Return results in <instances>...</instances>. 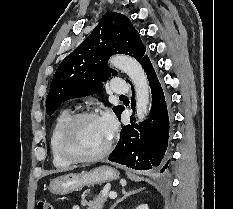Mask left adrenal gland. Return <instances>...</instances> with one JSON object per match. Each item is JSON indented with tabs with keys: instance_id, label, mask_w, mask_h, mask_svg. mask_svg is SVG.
<instances>
[{
	"instance_id": "1",
	"label": "left adrenal gland",
	"mask_w": 233,
	"mask_h": 209,
	"mask_svg": "<svg viewBox=\"0 0 233 209\" xmlns=\"http://www.w3.org/2000/svg\"><path fill=\"white\" fill-rule=\"evenodd\" d=\"M140 190H134V191H130V192H127L125 189L122 190V194H123V197L118 199L112 206L110 209H114L118 203H120L121 201L125 200L128 196L132 195V194H135L137 192H139Z\"/></svg>"
}]
</instances>
